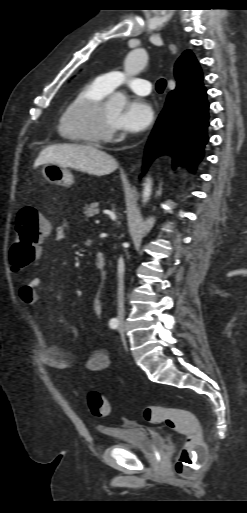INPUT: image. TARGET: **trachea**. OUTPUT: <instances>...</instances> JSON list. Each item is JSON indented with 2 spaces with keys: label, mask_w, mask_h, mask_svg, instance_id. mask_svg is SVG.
Returning a JSON list of instances; mask_svg holds the SVG:
<instances>
[{
  "label": "trachea",
  "mask_w": 247,
  "mask_h": 513,
  "mask_svg": "<svg viewBox=\"0 0 247 513\" xmlns=\"http://www.w3.org/2000/svg\"><path fill=\"white\" fill-rule=\"evenodd\" d=\"M166 87V81L164 79H160L157 81L156 83V90L159 92V93H162L164 91Z\"/></svg>",
  "instance_id": "3493384b"
}]
</instances>
